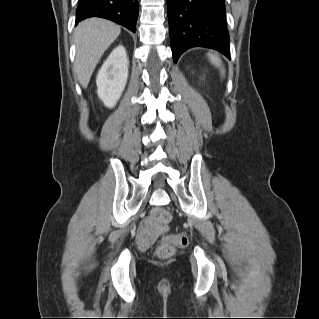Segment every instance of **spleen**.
Returning a JSON list of instances; mask_svg holds the SVG:
<instances>
[{"mask_svg":"<svg viewBox=\"0 0 319 319\" xmlns=\"http://www.w3.org/2000/svg\"><path fill=\"white\" fill-rule=\"evenodd\" d=\"M208 57H209V59H210V62L212 63V64H214L216 67H219V68H221V74L222 75H224V73H225V71H224V69L222 68V64H221V60H220V58L217 56V55H215V54H208Z\"/></svg>","mask_w":319,"mask_h":319,"instance_id":"3e777b00","label":"spleen"}]
</instances>
